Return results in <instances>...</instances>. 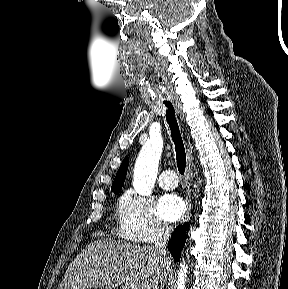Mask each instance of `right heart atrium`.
I'll return each mask as SVG.
<instances>
[{
    "mask_svg": "<svg viewBox=\"0 0 288 289\" xmlns=\"http://www.w3.org/2000/svg\"><path fill=\"white\" fill-rule=\"evenodd\" d=\"M122 237L138 242L153 243L169 234V226L159 217L151 199L126 191L118 203Z\"/></svg>",
    "mask_w": 288,
    "mask_h": 289,
    "instance_id": "obj_1",
    "label": "right heart atrium"
}]
</instances>
